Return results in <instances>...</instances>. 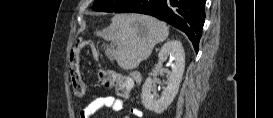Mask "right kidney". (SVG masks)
I'll list each match as a JSON object with an SVG mask.
<instances>
[{
	"instance_id": "obj_1",
	"label": "right kidney",
	"mask_w": 273,
	"mask_h": 118,
	"mask_svg": "<svg viewBox=\"0 0 273 118\" xmlns=\"http://www.w3.org/2000/svg\"><path fill=\"white\" fill-rule=\"evenodd\" d=\"M166 55H169L170 61H172V71L168 73L167 87L161 96L158 97L156 93H151L153 90L151 77L146 79L142 87V103L146 109L155 113H162L173 102L185 68V53L180 41L171 40L165 43L158 54L159 60H163Z\"/></svg>"
}]
</instances>
